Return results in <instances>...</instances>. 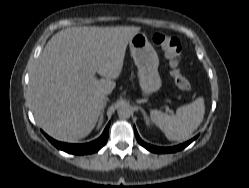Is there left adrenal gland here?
<instances>
[{"label":"left adrenal gland","instance_id":"1","mask_svg":"<svg viewBox=\"0 0 249 188\" xmlns=\"http://www.w3.org/2000/svg\"><path fill=\"white\" fill-rule=\"evenodd\" d=\"M140 111L142 112V114H143V116H144V119H145V121H146V124H149V118H148L146 112L144 111V109L140 107Z\"/></svg>","mask_w":249,"mask_h":188}]
</instances>
